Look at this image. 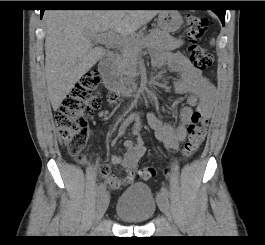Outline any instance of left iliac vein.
<instances>
[{"mask_svg": "<svg viewBox=\"0 0 265 245\" xmlns=\"http://www.w3.org/2000/svg\"><path fill=\"white\" fill-rule=\"evenodd\" d=\"M157 201H158V206L160 210L166 215V217L169 220H171L172 212H171L168 196L160 193L159 196L157 197Z\"/></svg>", "mask_w": 265, "mask_h": 245, "instance_id": "4c4485c4", "label": "left iliac vein"}]
</instances>
